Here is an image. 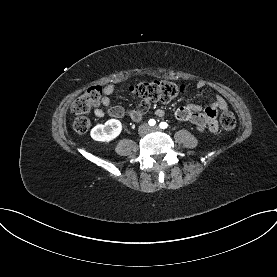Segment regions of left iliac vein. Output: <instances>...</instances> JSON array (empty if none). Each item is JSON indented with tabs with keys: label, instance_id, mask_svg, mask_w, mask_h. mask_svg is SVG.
Masks as SVG:
<instances>
[{
	"label": "left iliac vein",
	"instance_id": "1",
	"mask_svg": "<svg viewBox=\"0 0 277 277\" xmlns=\"http://www.w3.org/2000/svg\"><path fill=\"white\" fill-rule=\"evenodd\" d=\"M159 130H160V128L158 126H155V127L151 128V131H159Z\"/></svg>",
	"mask_w": 277,
	"mask_h": 277
}]
</instances>
